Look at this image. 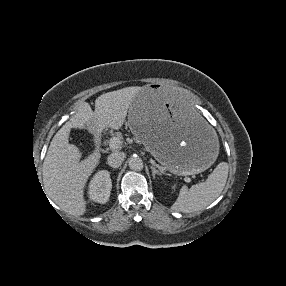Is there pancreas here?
I'll return each mask as SVG.
<instances>
[{
    "mask_svg": "<svg viewBox=\"0 0 286 286\" xmlns=\"http://www.w3.org/2000/svg\"><path fill=\"white\" fill-rule=\"evenodd\" d=\"M116 136H117V138H119L120 140L123 139V136H122L120 133H118ZM136 140H137V139H136ZM137 141H138V140H137Z\"/></svg>",
    "mask_w": 286,
    "mask_h": 286,
    "instance_id": "cf45deb5",
    "label": "pancreas"
}]
</instances>
